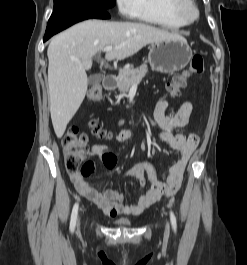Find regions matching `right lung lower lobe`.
<instances>
[{"label":"right lung lower lobe","instance_id":"obj_1","mask_svg":"<svg viewBox=\"0 0 247 265\" xmlns=\"http://www.w3.org/2000/svg\"><path fill=\"white\" fill-rule=\"evenodd\" d=\"M90 18L108 19L110 15L105 9L100 8H72L53 12L48 21L43 41H47L54 34L77 22Z\"/></svg>","mask_w":247,"mask_h":265}]
</instances>
